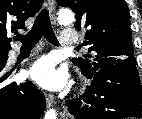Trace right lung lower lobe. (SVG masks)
Segmentation results:
<instances>
[{
	"label": "right lung lower lobe",
	"mask_w": 142,
	"mask_h": 119,
	"mask_svg": "<svg viewBox=\"0 0 142 119\" xmlns=\"http://www.w3.org/2000/svg\"><path fill=\"white\" fill-rule=\"evenodd\" d=\"M8 54L0 58V119H37L45 108V99L32 82L7 83L10 73L3 68Z\"/></svg>",
	"instance_id": "obj_1"
}]
</instances>
